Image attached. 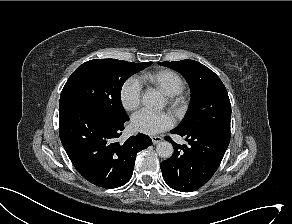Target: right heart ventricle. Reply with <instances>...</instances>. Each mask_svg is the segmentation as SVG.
I'll list each match as a JSON object with an SVG mask.
<instances>
[{"mask_svg":"<svg viewBox=\"0 0 292 224\" xmlns=\"http://www.w3.org/2000/svg\"><path fill=\"white\" fill-rule=\"evenodd\" d=\"M168 96L180 94L185 87L183 79L172 70H160L142 77Z\"/></svg>","mask_w":292,"mask_h":224,"instance_id":"1","label":"right heart ventricle"}]
</instances>
